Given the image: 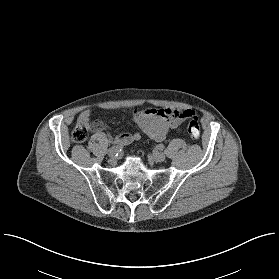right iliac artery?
Here are the masks:
<instances>
[{"label": "right iliac artery", "instance_id": "1", "mask_svg": "<svg viewBox=\"0 0 279 279\" xmlns=\"http://www.w3.org/2000/svg\"><path fill=\"white\" fill-rule=\"evenodd\" d=\"M114 147L116 148L117 151H121V149H122V147H120V146H118V145H116V146H114Z\"/></svg>", "mask_w": 279, "mask_h": 279}]
</instances>
